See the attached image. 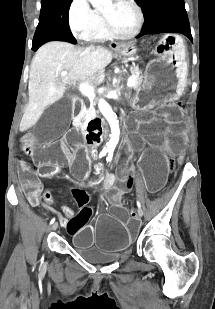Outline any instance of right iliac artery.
I'll return each mask as SVG.
<instances>
[{
    "mask_svg": "<svg viewBox=\"0 0 215 309\" xmlns=\"http://www.w3.org/2000/svg\"><path fill=\"white\" fill-rule=\"evenodd\" d=\"M106 154H107V150L103 149L102 152L100 153V156H99V157L101 158V157L105 156ZM54 221H55V218H53V219L51 220L50 224H53Z\"/></svg>",
    "mask_w": 215,
    "mask_h": 309,
    "instance_id": "obj_1",
    "label": "right iliac artery"
}]
</instances>
